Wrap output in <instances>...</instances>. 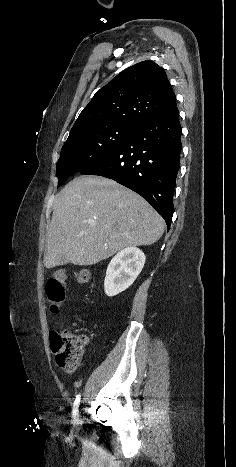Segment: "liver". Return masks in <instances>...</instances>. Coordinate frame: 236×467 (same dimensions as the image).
Here are the masks:
<instances>
[{
  "instance_id": "liver-1",
  "label": "liver",
  "mask_w": 236,
  "mask_h": 467,
  "mask_svg": "<svg viewBox=\"0 0 236 467\" xmlns=\"http://www.w3.org/2000/svg\"><path fill=\"white\" fill-rule=\"evenodd\" d=\"M164 220L140 195L101 176H80L55 198L47 228L44 265L88 266L116 252L151 245Z\"/></svg>"
}]
</instances>
